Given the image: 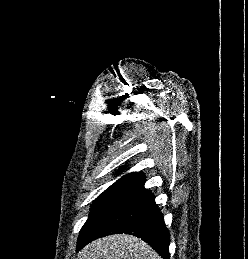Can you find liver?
I'll return each mask as SVG.
<instances>
[{"label":"liver","mask_w":248,"mask_h":259,"mask_svg":"<svg viewBox=\"0 0 248 259\" xmlns=\"http://www.w3.org/2000/svg\"><path fill=\"white\" fill-rule=\"evenodd\" d=\"M80 259H162L141 239L115 234L95 240L85 246Z\"/></svg>","instance_id":"6515ba94"}]
</instances>
